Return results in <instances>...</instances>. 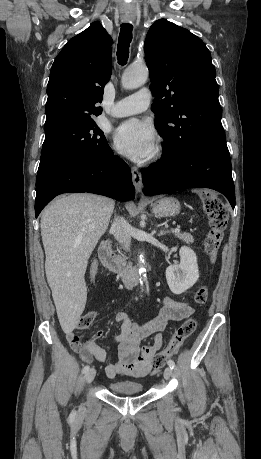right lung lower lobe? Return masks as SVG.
I'll return each instance as SVG.
<instances>
[{
    "mask_svg": "<svg viewBox=\"0 0 261 459\" xmlns=\"http://www.w3.org/2000/svg\"><path fill=\"white\" fill-rule=\"evenodd\" d=\"M89 192L120 201L133 200L135 189L128 165L113 155L64 164L36 180L35 216L57 195Z\"/></svg>",
    "mask_w": 261,
    "mask_h": 459,
    "instance_id": "98d812e1",
    "label": "right lung lower lobe"
}]
</instances>
